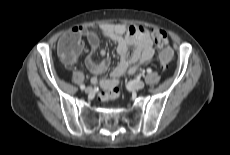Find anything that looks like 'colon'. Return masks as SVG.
<instances>
[{
    "mask_svg": "<svg viewBox=\"0 0 230 155\" xmlns=\"http://www.w3.org/2000/svg\"><path fill=\"white\" fill-rule=\"evenodd\" d=\"M152 36L159 47L162 48L160 52V64L165 67L169 61L172 59L173 51L167 45V34L163 30H154ZM80 43L79 38L76 35H68L62 41H60L58 46V53L60 57L66 61L71 62L75 59L76 49ZM120 97V89L115 86L114 88L101 92L98 95L100 101L116 100Z\"/></svg>",
    "mask_w": 230,
    "mask_h": 155,
    "instance_id": "1",
    "label": "colon"
}]
</instances>
